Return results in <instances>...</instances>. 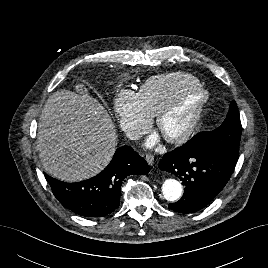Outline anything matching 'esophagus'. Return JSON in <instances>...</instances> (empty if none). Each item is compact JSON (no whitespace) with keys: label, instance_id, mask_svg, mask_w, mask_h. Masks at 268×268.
<instances>
[{"label":"esophagus","instance_id":"1","mask_svg":"<svg viewBox=\"0 0 268 268\" xmlns=\"http://www.w3.org/2000/svg\"><path fill=\"white\" fill-rule=\"evenodd\" d=\"M146 162L148 165L152 166L154 164V156L151 154H147L145 157Z\"/></svg>","mask_w":268,"mask_h":268}]
</instances>
